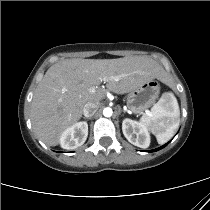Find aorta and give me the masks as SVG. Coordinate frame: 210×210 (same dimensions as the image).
<instances>
[{
	"label": "aorta",
	"mask_w": 210,
	"mask_h": 210,
	"mask_svg": "<svg viewBox=\"0 0 210 210\" xmlns=\"http://www.w3.org/2000/svg\"><path fill=\"white\" fill-rule=\"evenodd\" d=\"M112 114H113V111H112V109H111L110 107L104 108V110H103V115H104L105 117H111Z\"/></svg>",
	"instance_id": "obj_1"
}]
</instances>
